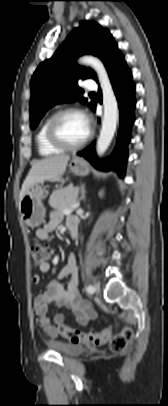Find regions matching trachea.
<instances>
[{
	"mask_svg": "<svg viewBox=\"0 0 168 406\" xmlns=\"http://www.w3.org/2000/svg\"><path fill=\"white\" fill-rule=\"evenodd\" d=\"M90 94H95L94 92H91Z\"/></svg>",
	"mask_w": 168,
	"mask_h": 406,
	"instance_id": "obj_1",
	"label": "trachea"
}]
</instances>
